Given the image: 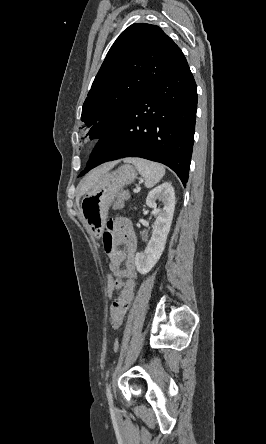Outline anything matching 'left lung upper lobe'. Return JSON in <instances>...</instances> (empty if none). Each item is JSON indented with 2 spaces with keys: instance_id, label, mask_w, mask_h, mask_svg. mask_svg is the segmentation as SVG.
<instances>
[{
  "instance_id": "1",
  "label": "left lung upper lobe",
  "mask_w": 266,
  "mask_h": 444,
  "mask_svg": "<svg viewBox=\"0 0 266 444\" xmlns=\"http://www.w3.org/2000/svg\"><path fill=\"white\" fill-rule=\"evenodd\" d=\"M184 58L156 25L136 23L125 29L107 53L82 107L81 120L90 128V137H103Z\"/></svg>"
}]
</instances>
